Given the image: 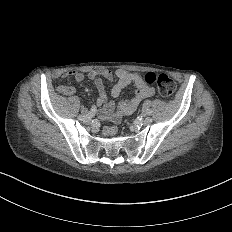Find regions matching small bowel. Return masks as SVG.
Here are the masks:
<instances>
[{
	"mask_svg": "<svg viewBox=\"0 0 232 232\" xmlns=\"http://www.w3.org/2000/svg\"><path fill=\"white\" fill-rule=\"evenodd\" d=\"M115 73L119 81L112 87V97L115 98L122 88L130 84L135 85L138 89L137 94L130 102L120 101L115 116L111 115L114 104L112 102H107L106 86L102 81V78L108 81L113 79L114 73L111 69H93L88 71L66 70L62 73V78H73L77 82H82L85 78L96 80L99 90L98 103L103 105L101 117L105 120H117L121 115L130 114L137 108L142 98L154 97L157 95L156 90L148 86L145 77L141 73L126 69H117ZM60 89L66 93L75 91V88L68 84L61 85ZM117 132L118 129L116 126H105L102 129L103 136H113L116 135Z\"/></svg>",
	"mask_w": 232,
	"mask_h": 232,
	"instance_id": "c3829d8e",
	"label": "small bowel"
}]
</instances>
